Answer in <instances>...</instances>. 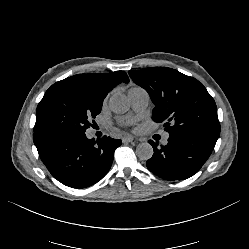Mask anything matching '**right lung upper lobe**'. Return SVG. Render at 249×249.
I'll return each mask as SVG.
<instances>
[{
  "instance_id": "right-lung-upper-lobe-1",
  "label": "right lung upper lobe",
  "mask_w": 249,
  "mask_h": 249,
  "mask_svg": "<svg viewBox=\"0 0 249 249\" xmlns=\"http://www.w3.org/2000/svg\"><path fill=\"white\" fill-rule=\"evenodd\" d=\"M122 82H129V78L124 71H116L107 74H78L56 83L81 86L87 89L95 98L103 101L107 96V93Z\"/></svg>"
}]
</instances>
